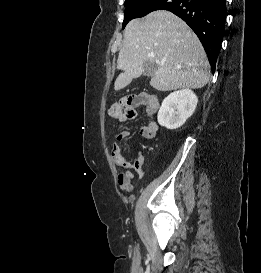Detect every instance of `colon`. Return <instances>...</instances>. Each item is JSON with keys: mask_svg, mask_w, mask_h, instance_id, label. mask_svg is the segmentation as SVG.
Wrapping results in <instances>:
<instances>
[{"mask_svg": "<svg viewBox=\"0 0 261 273\" xmlns=\"http://www.w3.org/2000/svg\"><path fill=\"white\" fill-rule=\"evenodd\" d=\"M141 101L140 96L127 95L114 102L109 108V114L118 119L122 116L133 118L136 116L135 106Z\"/></svg>", "mask_w": 261, "mask_h": 273, "instance_id": "1", "label": "colon"}]
</instances>
